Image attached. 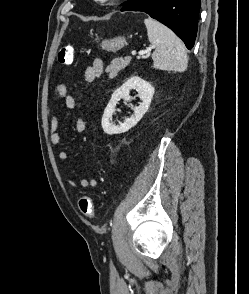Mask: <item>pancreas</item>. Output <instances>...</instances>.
<instances>
[{
    "instance_id": "obj_1",
    "label": "pancreas",
    "mask_w": 249,
    "mask_h": 294,
    "mask_svg": "<svg viewBox=\"0 0 249 294\" xmlns=\"http://www.w3.org/2000/svg\"><path fill=\"white\" fill-rule=\"evenodd\" d=\"M130 60L129 57L113 59L111 64L106 68V73H108L109 78L116 77L122 69L129 65Z\"/></svg>"
}]
</instances>
